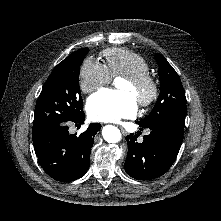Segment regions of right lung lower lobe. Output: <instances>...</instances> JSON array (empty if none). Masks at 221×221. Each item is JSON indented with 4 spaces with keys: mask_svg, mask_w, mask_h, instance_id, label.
<instances>
[{
    "mask_svg": "<svg viewBox=\"0 0 221 221\" xmlns=\"http://www.w3.org/2000/svg\"><path fill=\"white\" fill-rule=\"evenodd\" d=\"M84 113L68 122L56 123L39 135L33 136V145L43 170L53 179L70 182L82 177L89 168L90 152L94 137L100 130L99 123L90 124L79 136L69 134L71 122L83 124Z\"/></svg>",
    "mask_w": 221,
    "mask_h": 221,
    "instance_id": "1",
    "label": "right lung lower lobe"
}]
</instances>
